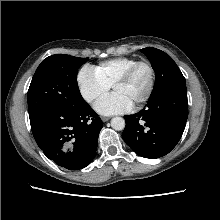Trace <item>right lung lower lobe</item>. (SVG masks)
<instances>
[{"mask_svg": "<svg viewBox=\"0 0 220 220\" xmlns=\"http://www.w3.org/2000/svg\"><path fill=\"white\" fill-rule=\"evenodd\" d=\"M30 124L44 154L69 170L90 164L103 127L102 120L88 104L77 110L60 107L44 110L30 116Z\"/></svg>", "mask_w": 220, "mask_h": 220, "instance_id": "98d812e1", "label": "right lung lower lobe"}]
</instances>
